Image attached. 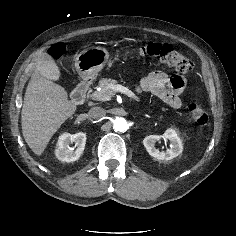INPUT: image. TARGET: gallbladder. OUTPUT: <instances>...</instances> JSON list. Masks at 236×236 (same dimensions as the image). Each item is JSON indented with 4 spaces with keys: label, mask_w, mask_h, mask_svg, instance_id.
Returning a JSON list of instances; mask_svg holds the SVG:
<instances>
[{
    "label": "gallbladder",
    "mask_w": 236,
    "mask_h": 236,
    "mask_svg": "<svg viewBox=\"0 0 236 236\" xmlns=\"http://www.w3.org/2000/svg\"><path fill=\"white\" fill-rule=\"evenodd\" d=\"M38 61H40L45 66L47 69V74L51 79H59L60 70L50 55L43 53L38 57Z\"/></svg>",
    "instance_id": "obj_1"
}]
</instances>
